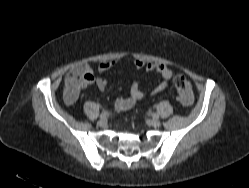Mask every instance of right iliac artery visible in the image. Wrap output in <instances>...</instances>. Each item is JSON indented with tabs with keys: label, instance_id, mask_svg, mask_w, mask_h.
<instances>
[{
	"label": "right iliac artery",
	"instance_id": "1",
	"mask_svg": "<svg viewBox=\"0 0 249 188\" xmlns=\"http://www.w3.org/2000/svg\"><path fill=\"white\" fill-rule=\"evenodd\" d=\"M108 116V112L107 111H103L102 113H101V115H100V118L101 119H104V118H106Z\"/></svg>",
	"mask_w": 249,
	"mask_h": 188
}]
</instances>
